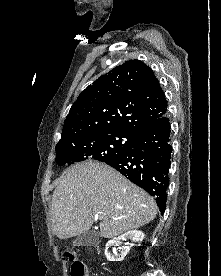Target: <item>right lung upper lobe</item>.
<instances>
[{"instance_id": "right-lung-upper-lobe-1", "label": "right lung upper lobe", "mask_w": 221, "mask_h": 276, "mask_svg": "<svg viewBox=\"0 0 221 276\" xmlns=\"http://www.w3.org/2000/svg\"><path fill=\"white\" fill-rule=\"evenodd\" d=\"M166 113L167 101L151 68L129 60L80 93L58 143L105 132L135 136Z\"/></svg>"}]
</instances>
